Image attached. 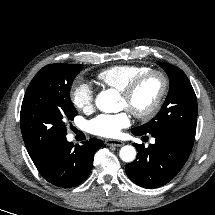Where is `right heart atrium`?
<instances>
[{
	"label": "right heart atrium",
	"instance_id": "right-heart-atrium-1",
	"mask_svg": "<svg viewBox=\"0 0 215 215\" xmlns=\"http://www.w3.org/2000/svg\"><path fill=\"white\" fill-rule=\"evenodd\" d=\"M70 97L73 105L84 112L90 111L94 103V90L92 85L83 80L74 83Z\"/></svg>",
	"mask_w": 215,
	"mask_h": 215
}]
</instances>
